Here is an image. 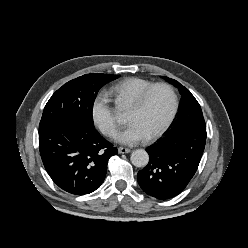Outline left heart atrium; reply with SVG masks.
<instances>
[{
  "instance_id": "1",
  "label": "left heart atrium",
  "mask_w": 248,
  "mask_h": 248,
  "mask_svg": "<svg viewBox=\"0 0 248 248\" xmlns=\"http://www.w3.org/2000/svg\"><path fill=\"white\" fill-rule=\"evenodd\" d=\"M115 140L122 144L134 145L144 141L147 136L135 123H129L114 136Z\"/></svg>"
}]
</instances>
